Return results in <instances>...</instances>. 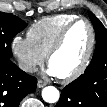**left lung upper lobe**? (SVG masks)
Instances as JSON below:
<instances>
[{
	"instance_id": "obj_1",
	"label": "left lung upper lobe",
	"mask_w": 107,
	"mask_h": 107,
	"mask_svg": "<svg viewBox=\"0 0 107 107\" xmlns=\"http://www.w3.org/2000/svg\"><path fill=\"white\" fill-rule=\"evenodd\" d=\"M89 17L93 23L94 29L96 31V51L94 53L93 59L90 63V65L85 70L84 74H82L80 77H78L74 83L78 84H86V87L91 84L92 81V74L94 73V67L97 64V56L99 51H103L105 53V56L107 58V29L103 26V24L100 22V20L91 12H89ZM107 65V59L105 61Z\"/></svg>"
}]
</instances>
